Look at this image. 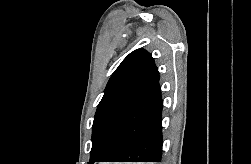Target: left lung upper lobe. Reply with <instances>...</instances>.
Returning <instances> with one entry per match:
<instances>
[{
	"instance_id": "left-lung-upper-lobe-1",
	"label": "left lung upper lobe",
	"mask_w": 251,
	"mask_h": 164,
	"mask_svg": "<svg viewBox=\"0 0 251 164\" xmlns=\"http://www.w3.org/2000/svg\"><path fill=\"white\" fill-rule=\"evenodd\" d=\"M159 72L144 49L131 52L108 81L94 117L88 164L105 160L124 117L135 102L157 81Z\"/></svg>"
}]
</instances>
